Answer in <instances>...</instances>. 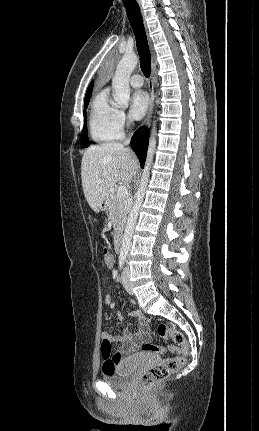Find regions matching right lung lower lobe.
<instances>
[{"mask_svg": "<svg viewBox=\"0 0 259 431\" xmlns=\"http://www.w3.org/2000/svg\"><path fill=\"white\" fill-rule=\"evenodd\" d=\"M149 130L146 127H140L133 135L131 147L139 158L140 165L143 168L149 142Z\"/></svg>", "mask_w": 259, "mask_h": 431, "instance_id": "right-lung-lower-lobe-1", "label": "right lung lower lobe"}]
</instances>
